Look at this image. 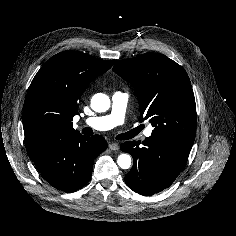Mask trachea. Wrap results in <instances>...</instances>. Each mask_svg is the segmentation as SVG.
<instances>
[{"instance_id": "3493384b", "label": "trachea", "mask_w": 236, "mask_h": 236, "mask_svg": "<svg viewBox=\"0 0 236 236\" xmlns=\"http://www.w3.org/2000/svg\"><path fill=\"white\" fill-rule=\"evenodd\" d=\"M83 133L86 134V135L91 136L93 134V131H92L91 128L87 127V128H85L83 130ZM117 138L120 139V140H123L124 136L123 135H119V136H117Z\"/></svg>"}]
</instances>
